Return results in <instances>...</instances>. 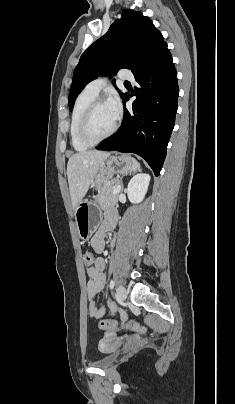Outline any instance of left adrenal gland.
<instances>
[{"mask_svg": "<svg viewBox=\"0 0 235 404\" xmlns=\"http://www.w3.org/2000/svg\"><path fill=\"white\" fill-rule=\"evenodd\" d=\"M138 170H139V171H141V169H140V168H139ZM121 184H122V183H121ZM121 191H123V184H122V189H121Z\"/></svg>", "mask_w": 235, "mask_h": 404, "instance_id": "left-adrenal-gland-1", "label": "left adrenal gland"}]
</instances>
